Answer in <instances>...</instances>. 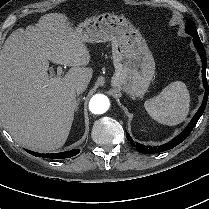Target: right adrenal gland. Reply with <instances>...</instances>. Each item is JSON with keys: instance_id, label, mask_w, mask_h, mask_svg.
<instances>
[{"instance_id": "2a0ac1e0", "label": "right adrenal gland", "mask_w": 209, "mask_h": 209, "mask_svg": "<svg viewBox=\"0 0 209 209\" xmlns=\"http://www.w3.org/2000/svg\"><path fill=\"white\" fill-rule=\"evenodd\" d=\"M79 103H80V98H77L75 112H77L79 109Z\"/></svg>"}]
</instances>
